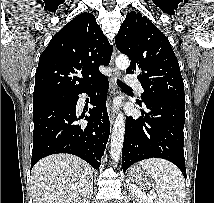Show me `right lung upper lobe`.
Returning a JSON list of instances; mask_svg holds the SVG:
<instances>
[{"label":"right lung upper lobe","instance_id":"obj_1","mask_svg":"<svg viewBox=\"0 0 214 203\" xmlns=\"http://www.w3.org/2000/svg\"><path fill=\"white\" fill-rule=\"evenodd\" d=\"M111 50L95 17L80 14L52 37L40 55L33 99L53 97L91 84L102 76L99 66L109 64Z\"/></svg>","mask_w":214,"mask_h":203}]
</instances>
